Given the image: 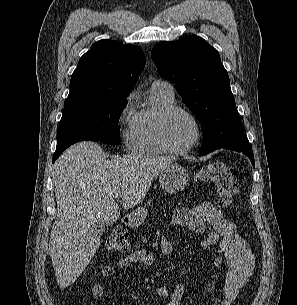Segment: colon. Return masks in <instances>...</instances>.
Instances as JSON below:
<instances>
[{
  "label": "colon",
  "instance_id": "5ec220e1",
  "mask_svg": "<svg viewBox=\"0 0 297 305\" xmlns=\"http://www.w3.org/2000/svg\"><path fill=\"white\" fill-rule=\"evenodd\" d=\"M198 179L215 185V204L219 209H227L233 204L237 191V173L221 161L212 162L198 172ZM128 248V237L123 229H115L107 239V249L114 253H123ZM235 301L233 305H238Z\"/></svg>",
  "mask_w": 297,
  "mask_h": 305
}]
</instances>
